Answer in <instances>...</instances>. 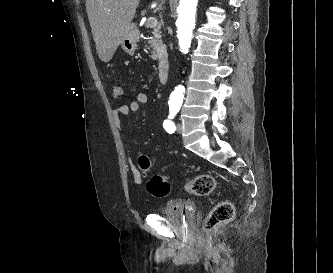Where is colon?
<instances>
[{"label": "colon", "mask_w": 333, "mask_h": 273, "mask_svg": "<svg viewBox=\"0 0 333 273\" xmlns=\"http://www.w3.org/2000/svg\"><path fill=\"white\" fill-rule=\"evenodd\" d=\"M114 99L121 100L124 97L123 88L115 84L111 88ZM137 167L142 174H148L151 163L147 156L140 155L137 158ZM219 186L218 180L210 174L197 175L184 185V190L197 196H206L212 193ZM150 194L156 197H165L170 191V179L167 176L153 175L146 184ZM235 215V209L231 202L222 201L216 204L209 212L203 223V230L210 234L222 224L230 222Z\"/></svg>", "instance_id": "obj_1"}]
</instances>
